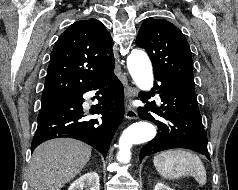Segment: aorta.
Segmentation results:
<instances>
[{"mask_svg":"<svg viewBox=\"0 0 238 190\" xmlns=\"http://www.w3.org/2000/svg\"><path fill=\"white\" fill-rule=\"evenodd\" d=\"M127 67L136 86L142 91H149L153 85V72L147 54L141 50H133L127 58ZM155 136L156 129L151 123L139 121L131 124L120 137L117 159L128 162L133 145L149 142Z\"/></svg>","mask_w":238,"mask_h":190,"instance_id":"aorta-1","label":"aorta"}]
</instances>
